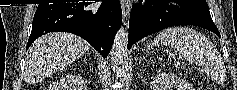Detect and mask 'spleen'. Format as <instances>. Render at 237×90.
Here are the masks:
<instances>
[{
    "label": "spleen",
    "instance_id": "1",
    "mask_svg": "<svg viewBox=\"0 0 237 90\" xmlns=\"http://www.w3.org/2000/svg\"><path fill=\"white\" fill-rule=\"evenodd\" d=\"M171 46L186 58L190 64L198 66L202 72H210L218 60L217 48L205 36L192 28H167L153 40V46Z\"/></svg>",
    "mask_w": 237,
    "mask_h": 90
}]
</instances>
